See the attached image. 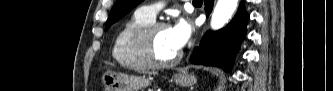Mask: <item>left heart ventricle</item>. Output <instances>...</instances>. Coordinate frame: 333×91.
I'll list each match as a JSON object with an SVG mask.
<instances>
[{
  "label": "left heart ventricle",
  "mask_w": 333,
  "mask_h": 91,
  "mask_svg": "<svg viewBox=\"0 0 333 91\" xmlns=\"http://www.w3.org/2000/svg\"><path fill=\"white\" fill-rule=\"evenodd\" d=\"M153 40L154 52L159 60L167 61L178 54L179 51L175 48L172 42L169 28H161L157 30Z\"/></svg>",
  "instance_id": "left-heart-ventricle-1"
}]
</instances>
